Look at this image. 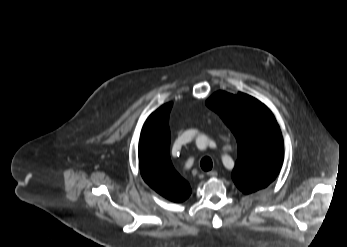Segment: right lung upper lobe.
<instances>
[{
  "label": "right lung upper lobe",
  "mask_w": 347,
  "mask_h": 247,
  "mask_svg": "<svg viewBox=\"0 0 347 247\" xmlns=\"http://www.w3.org/2000/svg\"><path fill=\"white\" fill-rule=\"evenodd\" d=\"M172 103L153 112L141 131L139 164L144 181L157 193L170 201L180 203L191 194V188L174 169L169 156V113Z\"/></svg>",
  "instance_id": "right-lung-upper-lobe-1"
}]
</instances>
